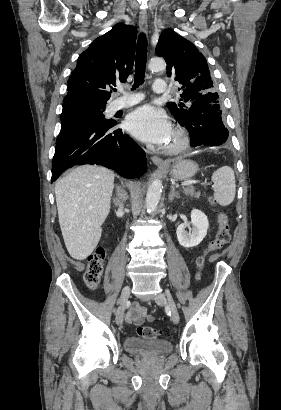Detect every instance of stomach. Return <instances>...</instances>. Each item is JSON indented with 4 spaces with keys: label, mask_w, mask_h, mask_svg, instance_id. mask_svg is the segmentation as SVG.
Segmentation results:
<instances>
[{
    "label": "stomach",
    "mask_w": 281,
    "mask_h": 410,
    "mask_svg": "<svg viewBox=\"0 0 281 410\" xmlns=\"http://www.w3.org/2000/svg\"><path fill=\"white\" fill-rule=\"evenodd\" d=\"M199 170L198 164L191 160H178L168 167L170 174L179 180L192 178Z\"/></svg>",
    "instance_id": "stomach-1"
}]
</instances>
